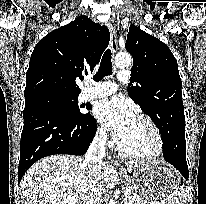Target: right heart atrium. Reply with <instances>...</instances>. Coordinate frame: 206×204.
Masks as SVG:
<instances>
[{
  "mask_svg": "<svg viewBox=\"0 0 206 204\" xmlns=\"http://www.w3.org/2000/svg\"><path fill=\"white\" fill-rule=\"evenodd\" d=\"M96 138L104 144H109V145L113 144V139L110 133L108 132L107 128L103 125H99L97 127Z\"/></svg>",
  "mask_w": 206,
  "mask_h": 204,
  "instance_id": "obj_1",
  "label": "right heart atrium"
}]
</instances>
